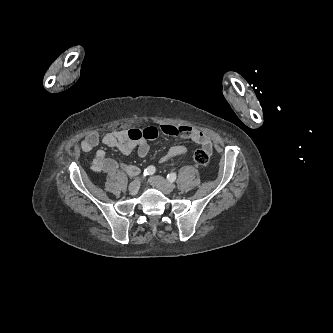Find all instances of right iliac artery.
<instances>
[{"mask_svg": "<svg viewBox=\"0 0 333 333\" xmlns=\"http://www.w3.org/2000/svg\"><path fill=\"white\" fill-rule=\"evenodd\" d=\"M155 167L154 166H148L145 170H144V176H148V175H152L155 173Z\"/></svg>", "mask_w": 333, "mask_h": 333, "instance_id": "1", "label": "right iliac artery"}]
</instances>
